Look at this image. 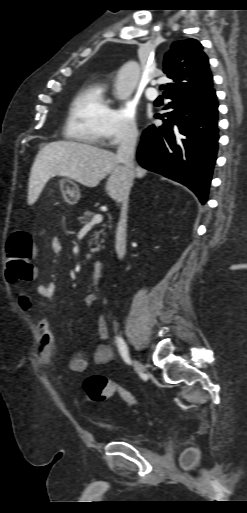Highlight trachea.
I'll return each instance as SVG.
<instances>
[{
	"label": "trachea",
	"mask_w": 247,
	"mask_h": 513,
	"mask_svg": "<svg viewBox=\"0 0 247 513\" xmlns=\"http://www.w3.org/2000/svg\"><path fill=\"white\" fill-rule=\"evenodd\" d=\"M160 89H161V90H163V89H164V85H161V86H160Z\"/></svg>",
	"instance_id": "1"
}]
</instances>
